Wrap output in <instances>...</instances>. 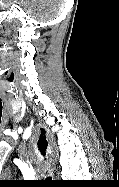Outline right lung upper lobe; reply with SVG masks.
I'll list each match as a JSON object with an SVG mask.
<instances>
[{"instance_id": "cb5924a9", "label": "right lung upper lobe", "mask_w": 119, "mask_h": 187, "mask_svg": "<svg viewBox=\"0 0 119 187\" xmlns=\"http://www.w3.org/2000/svg\"><path fill=\"white\" fill-rule=\"evenodd\" d=\"M43 132H44V130H43ZM47 145H48V143H47L46 137L45 136H40V139L38 141V147H39V149H40V151L43 155L46 152Z\"/></svg>"}]
</instances>
